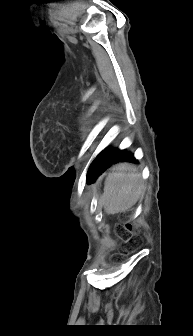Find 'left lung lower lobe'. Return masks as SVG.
Masks as SVG:
<instances>
[{"instance_id": "obj_1", "label": "left lung lower lobe", "mask_w": 193, "mask_h": 336, "mask_svg": "<svg viewBox=\"0 0 193 336\" xmlns=\"http://www.w3.org/2000/svg\"><path fill=\"white\" fill-rule=\"evenodd\" d=\"M124 161L136 162V159L132 154L126 152L125 150L120 151L118 149L106 148L97 156V158L90 166L87 174L88 182H94L95 179L100 176V174L104 172L106 168L110 167L113 163Z\"/></svg>"}]
</instances>
